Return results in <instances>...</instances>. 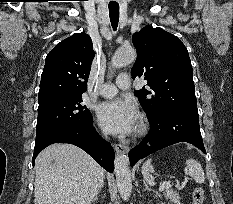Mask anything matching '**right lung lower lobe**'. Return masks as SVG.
Listing matches in <instances>:
<instances>
[{
    "mask_svg": "<svg viewBox=\"0 0 233 204\" xmlns=\"http://www.w3.org/2000/svg\"><path fill=\"white\" fill-rule=\"evenodd\" d=\"M53 143H69L78 146L93 157L105 170L110 173L114 171V150L111 144L96 132L93 120L88 124L65 129L35 141L33 166L36 156Z\"/></svg>",
    "mask_w": 233,
    "mask_h": 204,
    "instance_id": "1",
    "label": "right lung lower lobe"
}]
</instances>
